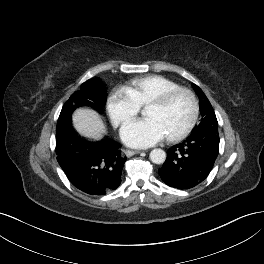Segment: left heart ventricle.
Here are the masks:
<instances>
[{
	"instance_id": "obj_1",
	"label": "left heart ventricle",
	"mask_w": 264,
	"mask_h": 264,
	"mask_svg": "<svg viewBox=\"0 0 264 264\" xmlns=\"http://www.w3.org/2000/svg\"><path fill=\"white\" fill-rule=\"evenodd\" d=\"M192 107L186 95H179L165 107L148 106L144 114L155 119L163 128L166 135L181 130L189 121Z\"/></svg>"
}]
</instances>
